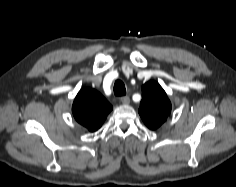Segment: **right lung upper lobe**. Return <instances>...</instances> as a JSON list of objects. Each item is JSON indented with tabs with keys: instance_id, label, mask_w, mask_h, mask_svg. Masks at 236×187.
I'll list each match as a JSON object with an SVG mask.
<instances>
[{
	"instance_id": "1",
	"label": "right lung upper lobe",
	"mask_w": 236,
	"mask_h": 187,
	"mask_svg": "<svg viewBox=\"0 0 236 187\" xmlns=\"http://www.w3.org/2000/svg\"><path fill=\"white\" fill-rule=\"evenodd\" d=\"M111 110V104L99 92L91 88L81 89L72 106L77 122L90 132L102 126Z\"/></svg>"
}]
</instances>
